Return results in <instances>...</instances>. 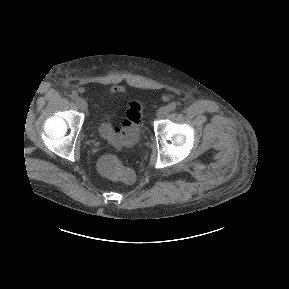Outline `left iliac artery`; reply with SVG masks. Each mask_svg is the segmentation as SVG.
I'll return each instance as SVG.
<instances>
[{"instance_id": "44dca946", "label": "left iliac artery", "mask_w": 289, "mask_h": 289, "mask_svg": "<svg viewBox=\"0 0 289 289\" xmlns=\"http://www.w3.org/2000/svg\"><path fill=\"white\" fill-rule=\"evenodd\" d=\"M169 111H174L177 108L176 103L172 102L168 105Z\"/></svg>"}]
</instances>
